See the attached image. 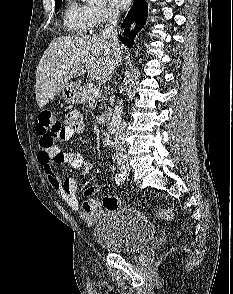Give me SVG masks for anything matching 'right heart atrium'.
<instances>
[{
    "label": "right heart atrium",
    "mask_w": 233,
    "mask_h": 294,
    "mask_svg": "<svg viewBox=\"0 0 233 294\" xmlns=\"http://www.w3.org/2000/svg\"><path fill=\"white\" fill-rule=\"evenodd\" d=\"M93 28H100L114 21L118 15L112 6H89Z\"/></svg>",
    "instance_id": "1"
}]
</instances>
